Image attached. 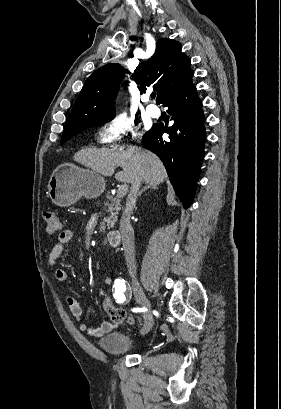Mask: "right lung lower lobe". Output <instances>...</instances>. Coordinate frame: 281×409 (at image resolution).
<instances>
[{
    "mask_svg": "<svg viewBox=\"0 0 281 409\" xmlns=\"http://www.w3.org/2000/svg\"><path fill=\"white\" fill-rule=\"evenodd\" d=\"M193 71L163 106L168 107L173 124L156 123L143 136V146L163 161L174 190L183 207L191 206L204 158V114L192 83ZM168 134L163 140L162 135Z\"/></svg>",
    "mask_w": 281,
    "mask_h": 409,
    "instance_id": "1",
    "label": "right lung lower lobe"
}]
</instances>
